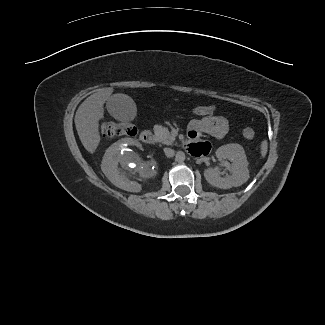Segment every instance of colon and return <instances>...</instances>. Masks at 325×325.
<instances>
[{
    "label": "colon",
    "instance_id": "1",
    "mask_svg": "<svg viewBox=\"0 0 325 325\" xmlns=\"http://www.w3.org/2000/svg\"><path fill=\"white\" fill-rule=\"evenodd\" d=\"M191 113L198 118L209 117L213 116L216 113V108L213 105H197L192 107ZM100 131L101 134L107 138L121 135L134 136L137 133V130L133 125L115 121L102 122ZM254 135L255 132L251 127H245L243 129V136L246 139H252Z\"/></svg>",
    "mask_w": 325,
    "mask_h": 325
}]
</instances>
